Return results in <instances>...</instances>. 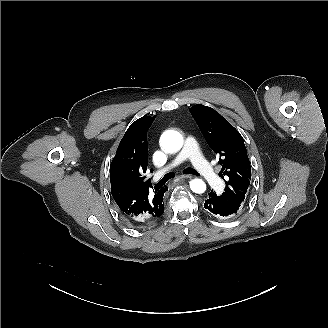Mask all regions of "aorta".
Listing matches in <instances>:
<instances>
[{"instance_id": "aorta-1", "label": "aorta", "mask_w": 328, "mask_h": 328, "mask_svg": "<svg viewBox=\"0 0 328 328\" xmlns=\"http://www.w3.org/2000/svg\"><path fill=\"white\" fill-rule=\"evenodd\" d=\"M160 142L166 152H177L182 148L184 141L179 132L169 130L162 134ZM190 188L194 193L201 194L205 192L206 184L203 180L196 178L190 182Z\"/></svg>"}]
</instances>
